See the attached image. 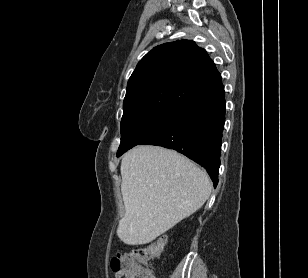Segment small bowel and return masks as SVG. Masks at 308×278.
Here are the masks:
<instances>
[{"label":"small bowel","instance_id":"1","mask_svg":"<svg viewBox=\"0 0 308 278\" xmlns=\"http://www.w3.org/2000/svg\"><path fill=\"white\" fill-rule=\"evenodd\" d=\"M115 278H120V276H119V275H116Z\"/></svg>","mask_w":308,"mask_h":278}]
</instances>
